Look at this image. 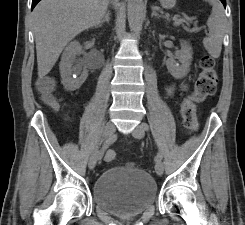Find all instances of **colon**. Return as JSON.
<instances>
[{
  "mask_svg": "<svg viewBox=\"0 0 245 225\" xmlns=\"http://www.w3.org/2000/svg\"><path fill=\"white\" fill-rule=\"evenodd\" d=\"M199 69L200 73L194 83L193 90L183 98L181 104L183 126L189 133H193L198 127L196 104L203 102L207 97L213 95L219 81L215 62L211 56L204 54L200 58ZM38 91L44 101L50 105H55V99L52 95L53 85L51 83L40 86ZM114 158L115 154L108 152L105 161L110 162Z\"/></svg>",
  "mask_w": 245,
  "mask_h": 225,
  "instance_id": "obj_1",
  "label": "colon"
}]
</instances>
